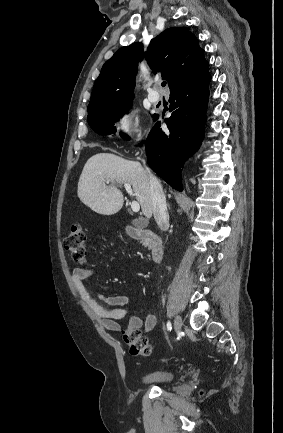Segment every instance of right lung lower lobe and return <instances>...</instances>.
I'll return each mask as SVG.
<instances>
[{
    "label": "right lung lower lobe",
    "mask_w": 283,
    "mask_h": 433,
    "mask_svg": "<svg viewBox=\"0 0 283 433\" xmlns=\"http://www.w3.org/2000/svg\"><path fill=\"white\" fill-rule=\"evenodd\" d=\"M210 79L208 75L186 88L171 90L169 131H163L158 121L146 140L149 166L178 191H182L181 167L204 137Z\"/></svg>",
    "instance_id": "right-lung-lower-lobe-1"
}]
</instances>
